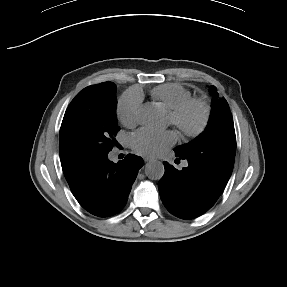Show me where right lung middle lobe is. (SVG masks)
Returning a JSON list of instances; mask_svg holds the SVG:
<instances>
[{
  "mask_svg": "<svg viewBox=\"0 0 287 287\" xmlns=\"http://www.w3.org/2000/svg\"><path fill=\"white\" fill-rule=\"evenodd\" d=\"M116 86L111 82L80 91L69 104L60 129L59 152L65 177L108 154L120 127L116 118Z\"/></svg>",
  "mask_w": 287,
  "mask_h": 287,
  "instance_id": "dd1d6c3e",
  "label": "right lung middle lobe"
}]
</instances>
